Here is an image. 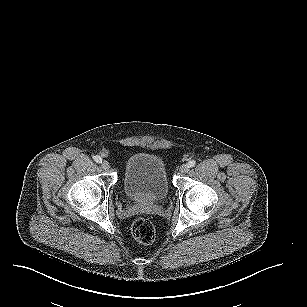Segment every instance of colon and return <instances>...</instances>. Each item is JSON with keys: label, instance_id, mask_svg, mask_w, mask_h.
I'll use <instances>...</instances> for the list:
<instances>
[{"label": "colon", "instance_id": "1", "mask_svg": "<svg viewBox=\"0 0 307 307\" xmlns=\"http://www.w3.org/2000/svg\"><path fill=\"white\" fill-rule=\"evenodd\" d=\"M131 232L134 239L141 244L149 245L155 240V228L149 219H136L132 224Z\"/></svg>", "mask_w": 307, "mask_h": 307}]
</instances>
